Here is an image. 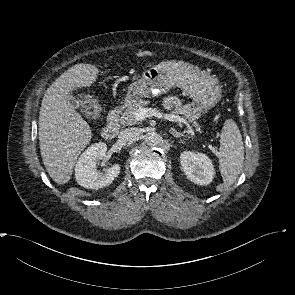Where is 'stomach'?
Listing matches in <instances>:
<instances>
[{"instance_id": "stomach-1", "label": "stomach", "mask_w": 295, "mask_h": 295, "mask_svg": "<svg viewBox=\"0 0 295 295\" xmlns=\"http://www.w3.org/2000/svg\"><path fill=\"white\" fill-rule=\"evenodd\" d=\"M179 87L197 105L201 116L221 99V88L215 78L197 66L183 61H164L153 65L128 87L125 103L155 97Z\"/></svg>"}]
</instances>
